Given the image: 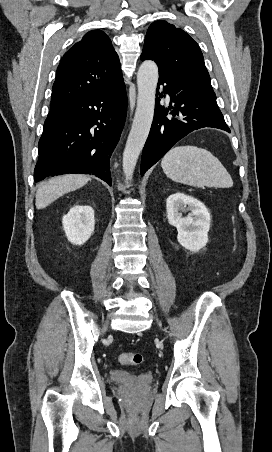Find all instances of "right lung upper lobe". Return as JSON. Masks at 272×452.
Returning a JSON list of instances; mask_svg holds the SVG:
<instances>
[{"mask_svg":"<svg viewBox=\"0 0 272 452\" xmlns=\"http://www.w3.org/2000/svg\"><path fill=\"white\" fill-rule=\"evenodd\" d=\"M121 80L119 57L109 37L101 30L90 31L60 62L50 111L75 104L84 96L110 88Z\"/></svg>","mask_w":272,"mask_h":452,"instance_id":"1","label":"right lung upper lobe"}]
</instances>
